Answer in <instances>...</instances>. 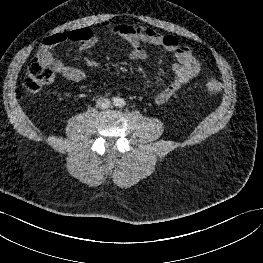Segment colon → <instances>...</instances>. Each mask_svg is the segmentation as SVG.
<instances>
[{"instance_id": "colon-1", "label": "colon", "mask_w": 263, "mask_h": 263, "mask_svg": "<svg viewBox=\"0 0 263 263\" xmlns=\"http://www.w3.org/2000/svg\"><path fill=\"white\" fill-rule=\"evenodd\" d=\"M55 79L54 70L39 59L32 60L27 66L24 82L25 88L32 93L39 92L44 86L51 84ZM221 90V83L216 77H208L204 83V91L213 95Z\"/></svg>"}]
</instances>
